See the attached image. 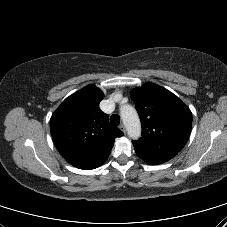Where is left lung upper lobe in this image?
<instances>
[{"label":"left lung upper lobe","instance_id":"obj_1","mask_svg":"<svg viewBox=\"0 0 227 227\" xmlns=\"http://www.w3.org/2000/svg\"><path fill=\"white\" fill-rule=\"evenodd\" d=\"M142 125V136L132 141L144 161L166 162L186 144L192 124L190 109L173 93L157 84H144L131 93Z\"/></svg>","mask_w":227,"mask_h":227}]
</instances>
